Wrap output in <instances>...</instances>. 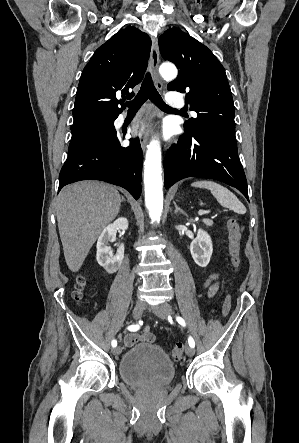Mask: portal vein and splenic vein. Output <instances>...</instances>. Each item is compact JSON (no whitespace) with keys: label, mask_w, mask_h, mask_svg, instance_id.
Returning a JSON list of instances; mask_svg holds the SVG:
<instances>
[{"label":"portal vein and splenic vein","mask_w":299,"mask_h":443,"mask_svg":"<svg viewBox=\"0 0 299 443\" xmlns=\"http://www.w3.org/2000/svg\"><path fill=\"white\" fill-rule=\"evenodd\" d=\"M210 211L209 210H200L199 212H198V215L199 216H202V215H204V214H208Z\"/></svg>","instance_id":"obj_1"}]
</instances>
